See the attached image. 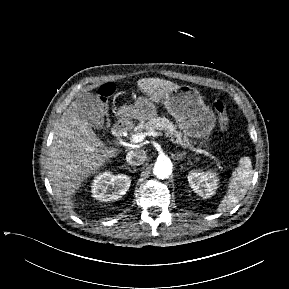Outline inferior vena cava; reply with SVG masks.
Returning a JSON list of instances; mask_svg holds the SVG:
<instances>
[{
  "label": "inferior vena cava",
  "instance_id": "obj_1",
  "mask_svg": "<svg viewBox=\"0 0 289 289\" xmlns=\"http://www.w3.org/2000/svg\"><path fill=\"white\" fill-rule=\"evenodd\" d=\"M147 159L146 153L144 150L136 149L131 150L126 155V161L130 165L139 166L143 164Z\"/></svg>",
  "mask_w": 289,
  "mask_h": 289
}]
</instances>
